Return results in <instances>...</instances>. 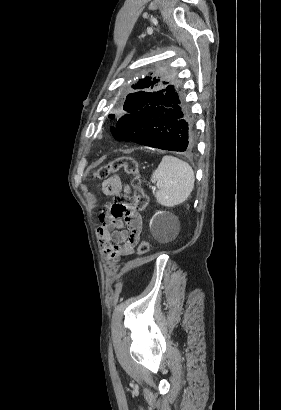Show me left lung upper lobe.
<instances>
[{
  "instance_id": "left-lung-upper-lobe-1",
  "label": "left lung upper lobe",
  "mask_w": 281,
  "mask_h": 410,
  "mask_svg": "<svg viewBox=\"0 0 281 410\" xmlns=\"http://www.w3.org/2000/svg\"><path fill=\"white\" fill-rule=\"evenodd\" d=\"M176 82L174 74L166 68H158L154 72H151L150 76H146L144 79L139 80L135 85H132L135 90L133 93H130L124 99L123 110L127 114H133L142 108H144L153 95L166 88L169 85H173ZM110 118H114L115 115H109ZM111 127L110 129H114ZM112 132V131H111ZM113 136L116 133H112Z\"/></svg>"
}]
</instances>
